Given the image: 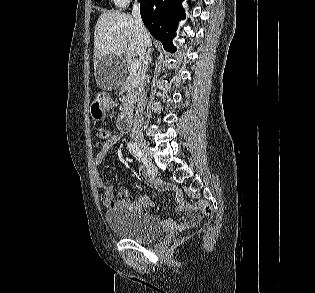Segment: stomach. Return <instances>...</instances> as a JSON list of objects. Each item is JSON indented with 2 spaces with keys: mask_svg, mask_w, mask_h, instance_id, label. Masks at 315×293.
<instances>
[{
  "mask_svg": "<svg viewBox=\"0 0 315 293\" xmlns=\"http://www.w3.org/2000/svg\"><path fill=\"white\" fill-rule=\"evenodd\" d=\"M116 102L115 96H104L100 99H97L92 105L90 109V114L92 118L96 120L103 119L106 115V112L111 108V103Z\"/></svg>",
  "mask_w": 315,
  "mask_h": 293,
  "instance_id": "obj_1",
  "label": "stomach"
}]
</instances>
